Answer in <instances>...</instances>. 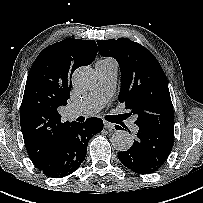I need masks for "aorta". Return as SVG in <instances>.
<instances>
[{"mask_svg": "<svg viewBox=\"0 0 203 203\" xmlns=\"http://www.w3.org/2000/svg\"><path fill=\"white\" fill-rule=\"evenodd\" d=\"M72 82L79 91L90 90L96 83V73L90 67H80L73 73ZM111 144L118 151H127L132 147L133 139L127 131L119 130L112 135Z\"/></svg>", "mask_w": 203, "mask_h": 203, "instance_id": "aorta-1", "label": "aorta"}]
</instances>
